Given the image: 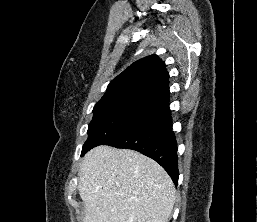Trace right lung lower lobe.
Listing matches in <instances>:
<instances>
[{"label": "right lung lower lobe", "instance_id": "98d812e1", "mask_svg": "<svg viewBox=\"0 0 257 222\" xmlns=\"http://www.w3.org/2000/svg\"><path fill=\"white\" fill-rule=\"evenodd\" d=\"M104 145L133 149L152 158L166 170L177 185L179 178L177 142L172 131L168 106Z\"/></svg>", "mask_w": 257, "mask_h": 222}]
</instances>
